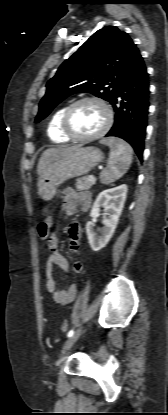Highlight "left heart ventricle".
<instances>
[{"mask_svg": "<svg viewBox=\"0 0 168 415\" xmlns=\"http://www.w3.org/2000/svg\"><path fill=\"white\" fill-rule=\"evenodd\" d=\"M105 119V111L99 104L82 103L73 110L70 116V128L77 135H92L103 127Z\"/></svg>", "mask_w": 168, "mask_h": 415, "instance_id": "1", "label": "left heart ventricle"}]
</instances>
